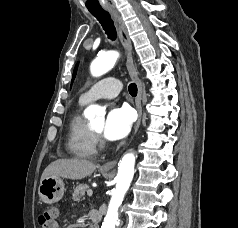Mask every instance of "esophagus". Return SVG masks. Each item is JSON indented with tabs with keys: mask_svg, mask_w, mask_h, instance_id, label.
<instances>
[{
	"mask_svg": "<svg viewBox=\"0 0 238 228\" xmlns=\"http://www.w3.org/2000/svg\"><path fill=\"white\" fill-rule=\"evenodd\" d=\"M107 10L110 13V15L114 21V24H115L116 29L119 34L120 41L126 51L127 69L129 71L131 78L134 80V82L137 85L138 91H137V96L135 98V106H136V109L138 112V119L135 124L134 131H133V135H135V133L137 132V130L140 126L141 119H142V108H141V99H142V92H143L142 83H141V80L138 76V72L134 65L133 56H132V45H131L129 35L127 33L126 26H125L121 16L119 15V13L117 12V10L114 7H110ZM116 163H117V159H114V160L106 162L102 167L106 170H111L116 166Z\"/></svg>",
	"mask_w": 238,
	"mask_h": 228,
	"instance_id": "34e87169",
	"label": "esophagus"
}]
</instances>
